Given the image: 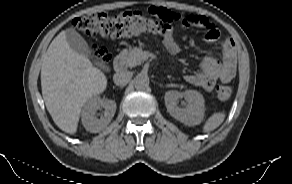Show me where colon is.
Instances as JSON below:
<instances>
[{"mask_svg":"<svg viewBox=\"0 0 292 184\" xmlns=\"http://www.w3.org/2000/svg\"><path fill=\"white\" fill-rule=\"evenodd\" d=\"M179 14L164 8H150L149 14L139 11H126L117 15L107 13H91L74 19V26L88 36L101 35L120 38L137 34L164 35L171 24L183 21ZM94 55L102 62L109 59L108 52L102 47L94 48ZM216 94L220 100H227L231 96V88L220 84L216 87Z\"/></svg>","mask_w":292,"mask_h":184,"instance_id":"obj_1","label":"colon"}]
</instances>
